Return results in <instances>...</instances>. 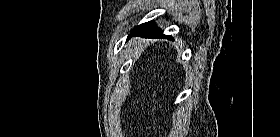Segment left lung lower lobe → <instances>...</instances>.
Returning a JSON list of instances; mask_svg holds the SVG:
<instances>
[{"mask_svg": "<svg viewBox=\"0 0 280 137\" xmlns=\"http://www.w3.org/2000/svg\"><path fill=\"white\" fill-rule=\"evenodd\" d=\"M132 36H142L149 38H167L173 40L171 36H166L163 31L159 29L154 21H149L136 26L129 34L128 39Z\"/></svg>", "mask_w": 280, "mask_h": 137, "instance_id": "1", "label": "left lung lower lobe"}]
</instances>
